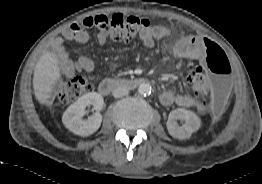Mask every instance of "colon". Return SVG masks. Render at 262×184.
I'll list each match as a JSON object with an SVG mask.
<instances>
[{"instance_id": "1", "label": "colon", "mask_w": 262, "mask_h": 184, "mask_svg": "<svg viewBox=\"0 0 262 184\" xmlns=\"http://www.w3.org/2000/svg\"><path fill=\"white\" fill-rule=\"evenodd\" d=\"M84 27H95L115 41H129L149 29L147 19L127 16L121 13L87 17L81 21ZM206 75L196 77L198 71H191L189 81L191 88L204 107L210 106L214 117H220L227 106L231 90V65L222 48L214 42L204 41ZM92 90V85L85 76H76L63 83L57 92V101L68 104Z\"/></svg>"}]
</instances>
